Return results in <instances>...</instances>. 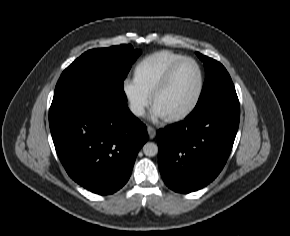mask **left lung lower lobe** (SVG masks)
I'll return each mask as SVG.
<instances>
[{
  "mask_svg": "<svg viewBox=\"0 0 290 236\" xmlns=\"http://www.w3.org/2000/svg\"><path fill=\"white\" fill-rule=\"evenodd\" d=\"M239 119V100L231 91L193 110L185 121L159 130V168L165 184L190 193L212 182L229 157Z\"/></svg>",
  "mask_w": 290,
  "mask_h": 236,
  "instance_id": "obj_1",
  "label": "left lung lower lobe"
}]
</instances>
